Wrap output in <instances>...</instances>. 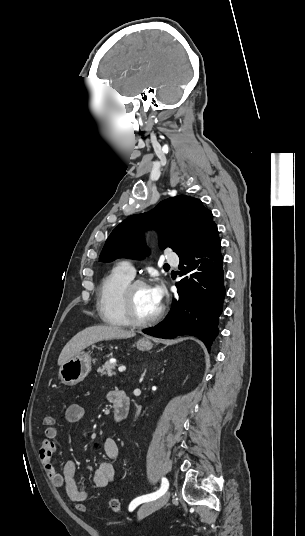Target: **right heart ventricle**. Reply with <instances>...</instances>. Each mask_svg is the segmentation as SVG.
Masks as SVG:
<instances>
[{
	"label": "right heart ventricle",
	"instance_id": "1",
	"mask_svg": "<svg viewBox=\"0 0 305 536\" xmlns=\"http://www.w3.org/2000/svg\"><path fill=\"white\" fill-rule=\"evenodd\" d=\"M132 280L119 268L113 269L101 282L97 311L102 321L117 327L128 326V322L122 307L121 297L125 286Z\"/></svg>",
	"mask_w": 305,
	"mask_h": 536
}]
</instances>
